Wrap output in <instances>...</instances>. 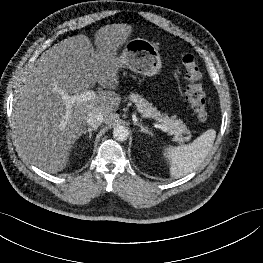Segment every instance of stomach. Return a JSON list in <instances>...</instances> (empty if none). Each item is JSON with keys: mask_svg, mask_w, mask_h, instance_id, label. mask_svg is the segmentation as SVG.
Segmentation results:
<instances>
[{"mask_svg": "<svg viewBox=\"0 0 263 263\" xmlns=\"http://www.w3.org/2000/svg\"><path fill=\"white\" fill-rule=\"evenodd\" d=\"M120 67L130 69L145 76H155L162 68V62L157 47L146 39L129 40L118 57Z\"/></svg>", "mask_w": 263, "mask_h": 263, "instance_id": "obj_1", "label": "stomach"}]
</instances>
